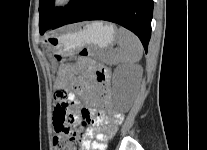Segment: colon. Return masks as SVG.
I'll use <instances>...</instances> for the list:
<instances>
[{
  "mask_svg": "<svg viewBox=\"0 0 207 150\" xmlns=\"http://www.w3.org/2000/svg\"><path fill=\"white\" fill-rule=\"evenodd\" d=\"M84 51L81 55H85ZM63 56L56 55L58 61L63 60ZM65 75L62 74V81L65 79ZM56 104L54 107V114L50 117V122H53V132H57L54 138V150H80L86 140V134L82 130L73 131L71 129L72 114L70 111L75 110V99L73 96L72 87L63 86L57 87ZM91 119L87 114L82 117V125L86 126L90 123Z\"/></svg>",
  "mask_w": 207,
  "mask_h": 150,
  "instance_id": "5ec220e1",
  "label": "colon"
}]
</instances>
